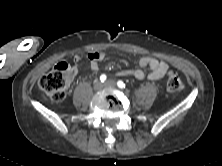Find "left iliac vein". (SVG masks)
<instances>
[{
    "label": "left iliac vein",
    "instance_id": "4c4485c4",
    "mask_svg": "<svg viewBox=\"0 0 222 166\" xmlns=\"http://www.w3.org/2000/svg\"><path fill=\"white\" fill-rule=\"evenodd\" d=\"M105 86H108V87H115L116 86V82L114 80H107L105 82Z\"/></svg>",
    "mask_w": 222,
    "mask_h": 166
}]
</instances>
